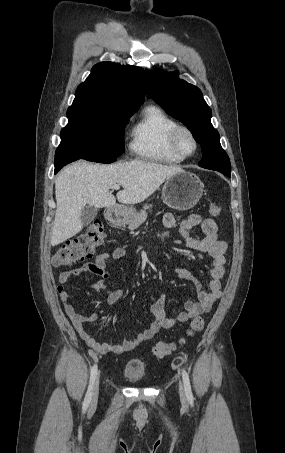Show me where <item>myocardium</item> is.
Segmentation results:
<instances>
[{
  "label": "myocardium",
  "mask_w": 285,
  "mask_h": 453,
  "mask_svg": "<svg viewBox=\"0 0 285 453\" xmlns=\"http://www.w3.org/2000/svg\"><path fill=\"white\" fill-rule=\"evenodd\" d=\"M182 134H186L188 135L192 142H193V150L190 152V153H185L184 151H182L180 145H179V138ZM170 145H171V148L172 150L177 154L179 155L180 157L182 158H189L191 157L192 155L195 154V152L197 151L198 149V140L195 136V134L193 133V131L188 128L187 126H183V125H177L173 131L171 132V135H170Z\"/></svg>",
  "instance_id": "myocardium-1"
}]
</instances>
